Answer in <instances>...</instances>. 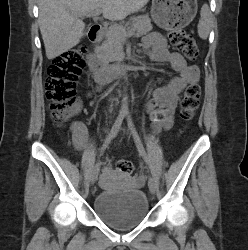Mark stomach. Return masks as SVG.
<instances>
[{
  "label": "stomach",
  "mask_w": 248,
  "mask_h": 250,
  "mask_svg": "<svg viewBox=\"0 0 248 250\" xmlns=\"http://www.w3.org/2000/svg\"><path fill=\"white\" fill-rule=\"evenodd\" d=\"M197 9V0H152L151 17L163 29H179L194 19Z\"/></svg>",
  "instance_id": "0dacf381"
}]
</instances>
